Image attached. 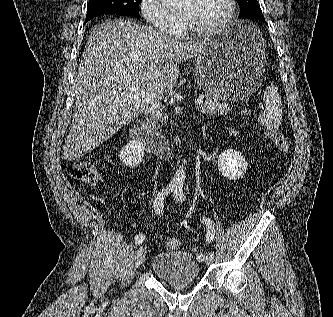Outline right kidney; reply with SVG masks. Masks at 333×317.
Returning <instances> with one entry per match:
<instances>
[{"label":"right kidney","mask_w":333,"mask_h":317,"mask_svg":"<svg viewBox=\"0 0 333 317\" xmlns=\"http://www.w3.org/2000/svg\"><path fill=\"white\" fill-rule=\"evenodd\" d=\"M119 157L126 166L135 168L143 161L144 147L140 142L130 141L122 148Z\"/></svg>","instance_id":"obj_1"}]
</instances>
